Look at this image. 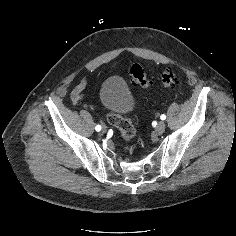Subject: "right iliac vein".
<instances>
[{
    "label": "right iliac vein",
    "instance_id": "obj_1",
    "mask_svg": "<svg viewBox=\"0 0 236 236\" xmlns=\"http://www.w3.org/2000/svg\"><path fill=\"white\" fill-rule=\"evenodd\" d=\"M98 121L100 122L101 125L104 124L100 119H99ZM106 131H107V127H106L105 125H103V126H102V132H103V133H106Z\"/></svg>",
    "mask_w": 236,
    "mask_h": 236
}]
</instances>
